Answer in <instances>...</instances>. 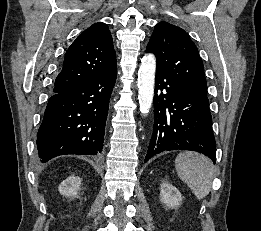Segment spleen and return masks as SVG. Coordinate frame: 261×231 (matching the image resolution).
I'll use <instances>...</instances> for the list:
<instances>
[{"label":"spleen","mask_w":261,"mask_h":231,"mask_svg":"<svg viewBox=\"0 0 261 231\" xmlns=\"http://www.w3.org/2000/svg\"><path fill=\"white\" fill-rule=\"evenodd\" d=\"M175 168L180 179L198 199L209 194L214 167L207 157L194 152H182L176 157Z\"/></svg>","instance_id":"spleen-1"}]
</instances>
